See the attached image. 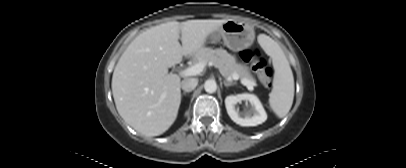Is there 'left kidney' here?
Returning a JSON list of instances; mask_svg holds the SVG:
<instances>
[{
  "mask_svg": "<svg viewBox=\"0 0 406 168\" xmlns=\"http://www.w3.org/2000/svg\"><path fill=\"white\" fill-rule=\"evenodd\" d=\"M242 101H248L251 108L240 112L236 105ZM225 106L229 117L240 126H257L267 120V114L260 100L254 94L229 95L225 98Z\"/></svg>",
  "mask_w": 406,
  "mask_h": 168,
  "instance_id": "1",
  "label": "left kidney"
}]
</instances>
